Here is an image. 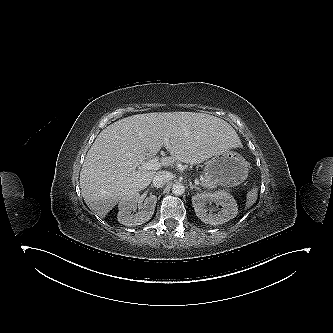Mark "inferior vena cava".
<instances>
[{"label": "inferior vena cava", "instance_id": "1", "mask_svg": "<svg viewBox=\"0 0 333 333\" xmlns=\"http://www.w3.org/2000/svg\"><path fill=\"white\" fill-rule=\"evenodd\" d=\"M173 175L168 171H159L155 174L153 178V185L157 188L162 187L163 185L167 184L172 180Z\"/></svg>", "mask_w": 333, "mask_h": 333}]
</instances>
